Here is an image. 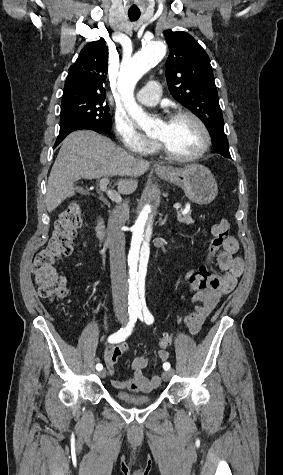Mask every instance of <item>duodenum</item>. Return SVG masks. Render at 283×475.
<instances>
[{"label": "duodenum", "instance_id": "obj_1", "mask_svg": "<svg viewBox=\"0 0 283 475\" xmlns=\"http://www.w3.org/2000/svg\"><path fill=\"white\" fill-rule=\"evenodd\" d=\"M95 232H96V237L98 241L102 245L107 244V235H106V226L104 222L103 215H98L96 222H95Z\"/></svg>", "mask_w": 283, "mask_h": 475}]
</instances>
